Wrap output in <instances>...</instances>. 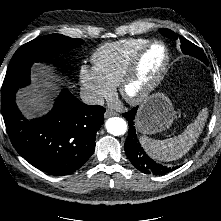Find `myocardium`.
Segmentation results:
<instances>
[{
  "label": "myocardium",
  "instance_id": "1",
  "mask_svg": "<svg viewBox=\"0 0 221 221\" xmlns=\"http://www.w3.org/2000/svg\"><path fill=\"white\" fill-rule=\"evenodd\" d=\"M154 45H161L165 51L164 61L157 72L156 76L136 95H129L127 93L128 86L135 80L140 62L146 52ZM170 51L165 42L161 40H152L143 45L131 58L124 73L122 74L117 86L122 98L132 105H139L146 101L152 93L159 87L170 63Z\"/></svg>",
  "mask_w": 221,
  "mask_h": 221
}]
</instances>
